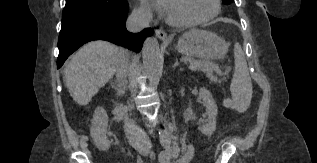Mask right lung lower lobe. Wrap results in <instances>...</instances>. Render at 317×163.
Listing matches in <instances>:
<instances>
[{
    "label": "right lung lower lobe",
    "instance_id": "obj_1",
    "mask_svg": "<svg viewBox=\"0 0 317 163\" xmlns=\"http://www.w3.org/2000/svg\"><path fill=\"white\" fill-rule=\"evenodd\" d=\"M127 13L128 7L98 11L83 18L62 23L58 39L57 68L63 65L70 54L91 40H107L140 51L143 41L153 33V29L147 28L137 34L128 32L125 27Z\"/></svg>",
    "mask_w": 317,
    "mask_h": 163
}]
</instances>
